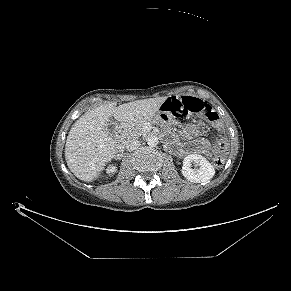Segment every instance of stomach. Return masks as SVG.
<instances>
[{
  "label": "stomach",
  "instance_id": "0dacf381",
  "mask_svg": "<svg viewBox=\"0 0 291 291\" xmlns=\"http://www.w3.org/2000/svg\"><path fill=\"white\" fill-rule=\"evenodd\" d=\"M169 119H171V116L169 114L164 113L162 111H159L153 117H151L149 120L154 122V123H157V124H164Z\"/></svg>",
  "mask_w": 291,
  "mask_h": 291
}]
</instances>
